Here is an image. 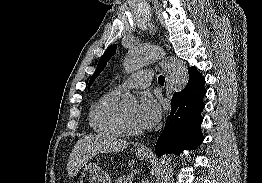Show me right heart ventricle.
<instances>
[{"label": "right heart ventricle", "instance_id": "e07e8e85", "mask_svg": "<svg viewBox=\"0 0 262 183\" xmlns=\"http://www.w3.org/2000/svg\"><path fill=\"white\" fill-rule=\"evenodd\" d=\"M118 101L119 92L113 89L104 93L92 105L89 123L97 134L110 138H122L127 134Z\"/></svg>", "mask_w": 262, "mask_h": 183}]
</instances>
